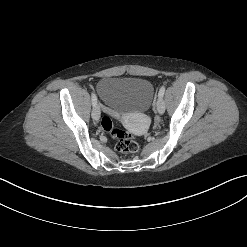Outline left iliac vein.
<instances>
[{
    "label": "left iliac vein",
    "mask_w": 247,
    "mask_h": 247,
    "mask_svg": "<svg viewBox=\"0 0 247 247\" xmlns=\"http://www.w3.org/2000/svg\"><path fill=\"white\" fill-rule=\"evenodd\" d=\"M156 107L159 114H163L165 112V104L163 98H158Z\"/></svg>",
    "instance_id": "1"
}]
</instances>
